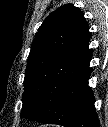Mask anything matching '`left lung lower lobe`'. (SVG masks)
Returning <instances> with one entry per match:
<instances>
[{
  "instance_id": "1",
  "label": "left lung lower lobe",
  "mask_w": 108,
  "mask_h": 127,
  "mask_svg": "<svg viewBox=\"0 0 108 127\" xmlns=\"http://www.w3.org/2000/svg\"><path fill=\"white\" fill-rule=\"evenodd\" d=\"M91 33L85 21L69 51L60 58L64 75L52 102L36 120L69 127H99L91 79Z\"/></svg>"
}]
</instances>
